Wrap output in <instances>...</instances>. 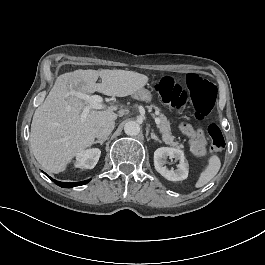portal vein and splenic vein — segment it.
<instances>
[{
	"mask_svg": "<svg viewBox=\"0 0 265 265\" xmlns=\"http://www.w3.org/2000/svg\"><path fill=\"white\" fill-rule=\"evenodd\" d=\"M69 95H74L80 99H83L87 105L83 108V111L81 113L80 119L81 122H84L87 118V115L89 114L91 109H96V110H100L103 109L104 106L102 105V97L99 95H87L85 93L79 92V91H75L73 89H70V92L68 93ZM155 122L157 125L160 124V120L158 117L155 118Z\"/></svg>",
	"mask_w": 265,
	"mask_h": 265,
	"instance_id": "portal-vein-and-splenic-vein-1",
	"label": "portal vein and splenic vein"
}]
</instances>
